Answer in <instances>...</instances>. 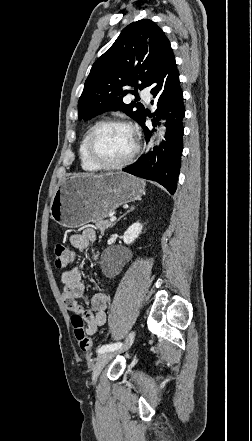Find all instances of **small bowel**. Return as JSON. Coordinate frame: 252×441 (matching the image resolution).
<instances>
[{
  "label": "small bowel",
  "mask_w": 252,
  "mask_h": 441,
  "mask_svg": "<svg viewBox=\"0 0 252 441\" xmlns=\"http://www.w3.org/2000/svg\"><path fill=\"white\" fill-rule=\"evenodd\" d=\"M95 239V230L86 228L81 233L71 235L69 240L74 248L85 250ZM97 257V254L93 255L95 260H97ZM61 282L64 305L68 310L82 317L86 325L85 330L89 335L94 334L107 321L108 295L104 291H99L89 297L82 279V273L77 267L63 272ZM79 299L83 300L84 303H79Z\"/></svg>",
  "instance_id": "obj_1"
}]
</instances>
